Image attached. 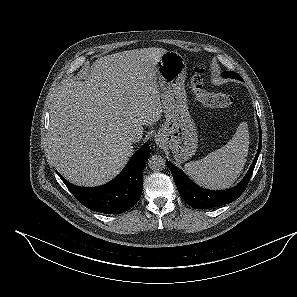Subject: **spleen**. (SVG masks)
Instances as JSON below:
<instances>
[{
	"mask_svg": "<svg viewBox=\"0 0 297 297\" xmlns=\"http://www.w3.org/2000/svg\"><path fill=\"white\" fill-rule=\"evenodd\" d=\"M249 149V130L240 123L232 139L222 148L195 162L186 163V173L199 185L209 189L231 186L246 163Z\"/></svg>",
	"mask_w": 297,
	"mask_h": 297,
	"instance_id": "spleen-1",
	"label": "spleen"
}]
</instances>
